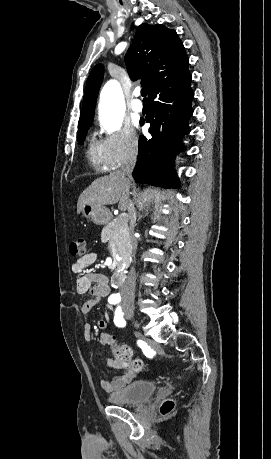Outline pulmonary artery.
<instances>
[{
    "mask_svg": "<svg viewBox=\"0 0 271 459\" xmlns=\"http://www.w3.org/2000/svg\"><path fill=\"white\" fill-rule=\"evenodd\" d=\"M141 91L140 89H137L135 91V99L131 102L130 108L133 113L139 114L143 110V103L142 100L140 99Z\"/></svg>",
    "mask_w": 271,
    "mask_h": 459,
    "instance_id": "obj_1",
    "label": "pulmonary artery"
}]
</instances>
